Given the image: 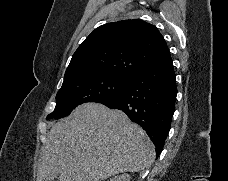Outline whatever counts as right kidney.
Masks as SVG:
<instances>
[{
    "label": "right kidney",
    "instance_id": "obj_1",
    "mask_svg": "<svg viewBox=\"0 0 228 181\" xmlns=\"http://www.w3.org/2000/svg\"><path fill=\"white\" fill-rule=\"evenodd\" d=\"M130 179V175L124 173V175H118V177H113V179H110V181H130Z\"/></svg>",
    "mask_w": 228,
    "mask_h": 181
}]
</instances>
